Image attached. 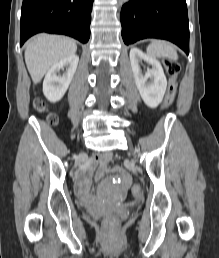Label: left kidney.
<instances>
[{
    "mask_svg": "<svg viewBox=\"0 0 219 258\" xmlns=\"http://www.w3.org/2000/svg\"><path fill=\"white\" fill-rule=\"evenodd\" d=\"M142 60L152 66L145 74H142L139 66ZM130 62L141 98L148 107L156 108L162 102L167 87V79L160 62L138 48L130 50Z\"/></svg>",
    "mask_w": 219,
    "mask_h": 258,
    "instance_id": "left-kidney-1",
    "label": "left kidney"
}]
</instances>
